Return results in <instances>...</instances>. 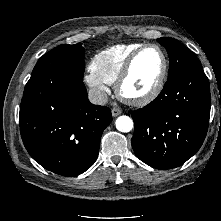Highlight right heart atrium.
I'll list each match as a JSON object with an SVG mask.
<instances>
[{"mask_svg": "<svg viewBox=\"0 0 221 221\" xmlns=\"http://www.w3.org/2000/svg\"><path fill=\"white\" fill-rule=\"evenodd\" d=\"M84 81L98 101L102 102L106 99L110 91L107 83L96 77L91 71L85 75Z\"/></svg>", "mask_w": 221, "mask_h": 221, "instance_id": "right-heart-atrium-1", "label": "right heart atrium"}]
</instances>
